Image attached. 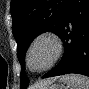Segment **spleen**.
<instances>
[{"label":"spleen","instance_id":"obj_1","mask_svg":"<svg viewBox=\"0 0 89 89\" xmlns=\"http://www.w3.org/2000/svg\"><path fill=\"white\" fill-rule=\"evenodd\" d=\"M66 84V89H89V79L84 75L68 74L60 78Z\"/></svg>","mask_w":89,"mask_h":89}]
</instances>
